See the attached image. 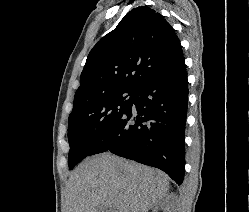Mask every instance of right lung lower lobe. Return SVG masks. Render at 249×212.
Wrapping results in <instances>:
<instances>
[{
    "instance_id": "98d812e1",
    "label": "right lung lower lobe",
    "mask_w": 249,
    "mask_h": 212,
    "mask_svg": "<svg viewBox=\"0 0 249 212\" xmlns=\"http://www.w3.org/2000/svg\"><path fill=\"white\" fill-rule=\"evenodd\" d=\"M184 59L135 90L131 106L112 126L94 154L110 151L159 168L178 184L182 183L188 103Z\"/></svg>"
}]
</instances>
